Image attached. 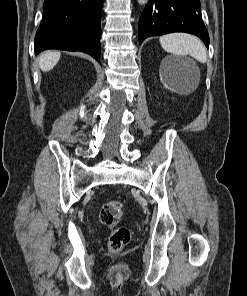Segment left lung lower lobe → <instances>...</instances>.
<instances>
[{
	"instance_id": "0a47b994",
	"label": "left lung lower lobe",
	"mask_w": 247,
	"mask_h": 296,
	"mask_svg": "<svg viewBox=\"0 0 247 296\" xmlns=\"http://www.w3.org/2000/svg\"><path fill=\"white\" fill-rule=\"evenodd\" d=\"M186 32L198 36L208 48L209 35L199 0H149L140 20L139 43L151 36Z\"/></svg>"
}]
</instances>
